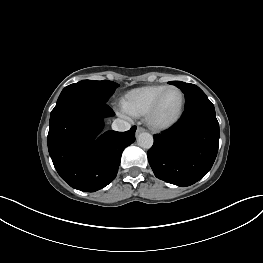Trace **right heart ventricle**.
I'll list each match as a JSON object with an SVG mask.
<instances>
[{"instance_id": "right-heart-ventricle-1", "label": "right heart ventricle", "mask_w": 263, "mask_h": 263, "mask_svg": "<svg viewBox=\"0 0 263 263\" xmlns=\"http://www.w3.org/2000/svg\"><path fill=\"white\" fill-rule=\"evenodd\" d=\"M165 85L143 86L128 91L121 100L123 111L132 117H144Z\"/></svg>"}]
</instances>
